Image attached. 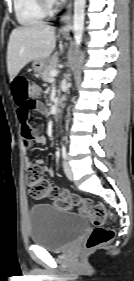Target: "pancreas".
<instances>
[{"label":"pancreas","mask_w":134,"mask_h":281,"mask_svg":"<svg viewBox=\"0 0 134 281\" xmlns=\"http://www.w3.org/2000/svg\"><path fill=\"white\" fill-rule=\"evenodd\" d=\"M57 68V58L53 57L52 59L49 60L48 65L46 68L41 72V77L43 81L47 82L51 80L50 72L52 70H55Z\"/></svg>","instance_id":"pancreas-1"}]
</instances>
